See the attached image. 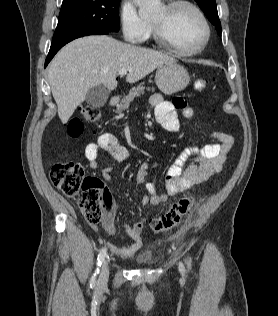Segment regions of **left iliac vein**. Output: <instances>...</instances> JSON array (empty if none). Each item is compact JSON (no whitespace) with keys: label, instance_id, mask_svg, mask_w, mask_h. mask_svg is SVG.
Instances as JSON below:
<instances>
[{"label":"left iliac vein","instance_id":"left-iliac-vein-1","mask_svg":"<svg viewBox=\"0 0 278 316\" xmlns=\"http://www.w3.org/2000/svg\"><path fill=\"white\" fill-rule=\"evenodd\" d=\"M179 270H180L181 272H183V271H184V267H183V265H182V264H179Z\"/></svg>","mask_w":278,"mask_h":316}]
</instances>
